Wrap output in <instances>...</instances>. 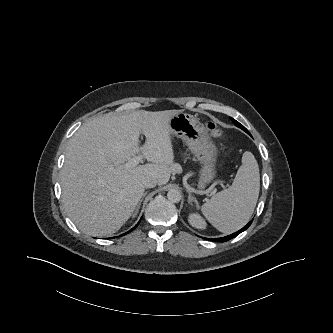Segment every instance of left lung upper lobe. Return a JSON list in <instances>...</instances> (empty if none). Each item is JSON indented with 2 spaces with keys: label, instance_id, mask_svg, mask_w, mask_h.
<instances>
[{
  "label": "left lung upper lobe",
  "instance_id": "left-lung-upper-lobe-1",
  "mask_svg": "<svg viewBox=\"0 0 333 333\" xmlns=\"http://www.w3.org/2000/svg\"><path fill=\"white\" fill-rule=\"evenodd\" d=\"M231 120L233 121V123H234L237 127L241 128L242 130H244L245 132H247L248 134H250V133L247 131V129H246L243 125H241L239 122H237L235 119L231 118Z\"/></svg>",
  "mask_w": 333,
  "mask_h": 333
}]
</instances>
